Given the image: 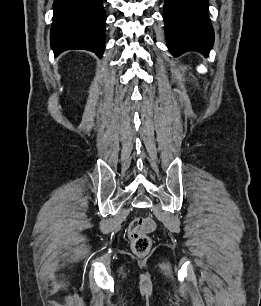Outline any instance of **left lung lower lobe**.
I'll use <instances>...</instances> for the list:
<instances>
[{"label": "left lung lower lobe", "instance_id": "1", "mask_svg": "<svg viewBox=\"0 0 261 306\" xmlns=\"http://www.w3.org/2000/svg\"><path fill=\"white\" fill-rule=\"evenodd\" d=\"M207 8L208 0H165L163 19L166 40L174 56L186 51L209 55L214 31Z\"/></svg>", "mask_w": 261, "mask_h": 306}]
</instances>
